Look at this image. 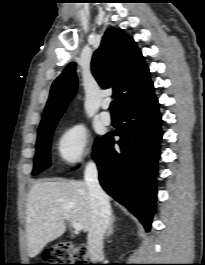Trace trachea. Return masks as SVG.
I'll return each instance as SVG.
<instances>
[{
    "mask_svg": "<svg viewBox=\"0 0 205 265\" xmlns=\"http://www.w3.org/2000/svg\"><path fill=\"white\" fill-rule=\"evenodd\" d=\"M110 111L112 113H117L118 112V108H117V105H116V101H112L111 106H110Z\"/></svg>",
    "mask_w": 205,
    "mask_h": 265,
    "instance_id": "trachea-1",
    "label": "trachea"
}]
</instances>
